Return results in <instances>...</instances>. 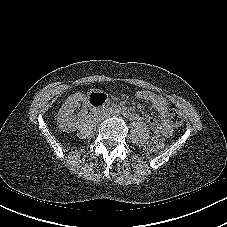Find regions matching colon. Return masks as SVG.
Here are the masks:
<instances>
[{
	"instance_id": "colon-1",
	"label": "colon",
	"mask_w": 227,
	"mask_h": 227,
	"mask_svg": "<svg viewBox=\"0 0 227 227\" xmlns=\"http://www.w3.org/2000/svg\"><path fill=\"white\" fill-rule=\"evenodd\" d=\"M99 95H103V94L98 91L90 92V95H89L90 100ZM170 119H171V123L175 127H179L183 123V118H182L181 113L175 109L170 112ZM163 146H164L163 136L155 135L147 142L146 150L148 152H156V151L160 150Z\"/></svg>"
}]
</instances>
